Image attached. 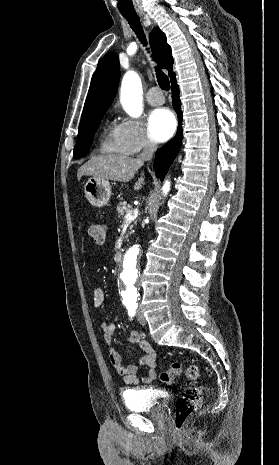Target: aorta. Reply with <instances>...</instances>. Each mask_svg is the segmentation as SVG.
<instances>
[{
	"instance_id": "762f6f07",
	"label": "aorta",
	"mask_w": 279,
	"mask_h": 465,
	"mask_svg": "<svg viewBox=\"0 0 279 465\" xmlns=\"http://www.w3.org/2000/svg\"><path fill=\"white\" fill-rule=\"evenodd\" d=\"M142 83L138 74L128 71L121 84V103L124 110L132 117L142 114ZM166 195L170 190V182L166 181L162 187ZM139 246L130 248L124 255L120 269V289L124 303L135 301L136 287L139 280Z\"/></svg>"
}]
</instances>
